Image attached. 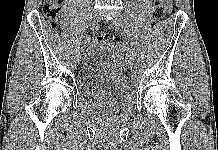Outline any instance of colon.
<instances>
[{"instance_id": "colon-1", "label": "colon", "mask_w": 218, "mask_h": 150, "mask_svg": "<svg viewBox=\"0 0 218 150\" xmlns=\"http://www.w3.org/2000/svg\"><path fill=\"white\" fill-rule=\"evenodd\" d=\"M61 12V0H45L43 4V13L51 27H55L58 23ZM153 16L156 20H163L169 10L163 3V0H155L152 6ZM96 41L103 46H110L113 42L111 34L99 32L96 35Z\"/></svg>"}]
</instances>
